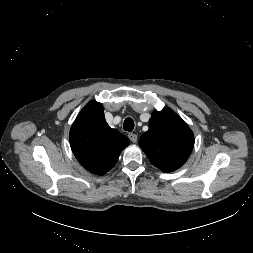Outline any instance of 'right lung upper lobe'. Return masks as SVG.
Masks as SVG:
<instances>
[{
  "label": "right lung upper lobe",
  "instance_id": "right-lung-upper-lobe-1",
  "mask_svg": "<svg viewBox=\"0 0 253 253\" xmlns=\"http://www.w3.org/2000/svg\"><path fill=\"white\" fill-rule=\"evenodd\" d=\"M69 140L79 163L96 175L108 172L129 145L126 136L107 124L102 105L96 101L81 110L71 127Z\"/></svg>",
  "mask_w": 253,
  "mask_h": 253
}]
</instances>
